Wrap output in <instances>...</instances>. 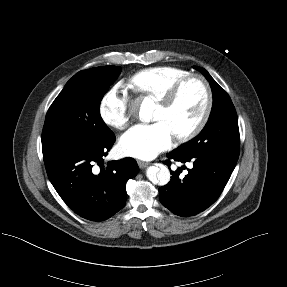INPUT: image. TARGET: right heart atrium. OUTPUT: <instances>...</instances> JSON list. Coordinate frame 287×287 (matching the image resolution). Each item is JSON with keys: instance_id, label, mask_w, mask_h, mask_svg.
I'll use <instances>...</instances> for the list:
<instances>
[{"instance_id": "obj_1", "label": "right heart atrium", "mask_w": 287, "mask_h": 287, "mask_svg": "<svg viewBox=\"0 0 287 287\" xmlns=\"http://www.w3.org/2000/svg\"><path fill=\"white\" fill-rule=\"evenodd\" d=\"M99 115L104 124L114 129L123 130L129 125V96L122 83L115 84L102 97Z\"/></svg>"}]
</instances>
